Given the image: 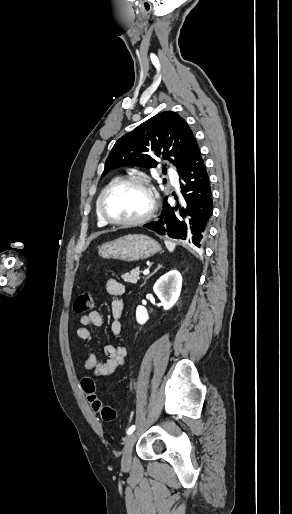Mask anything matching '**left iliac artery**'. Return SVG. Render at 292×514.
<instances>
[{
  "instance_id": "44dca946",
  "label": "left iliac artery",
  "mask_w": 292,
  "mask_h": 514,
  "mask_svg": "<svg viewBox=\"0 0 292 514\" xmlns=\"http://www.w3.org/2000/svg\"><path fill=\"white\" fill-rule=\"evenodd\" d=\"M135 428H136L135 425H132L131 427H129L127 430V434L128 435L132 434L134 432Z\"/></svg>"
}]
</instances>
